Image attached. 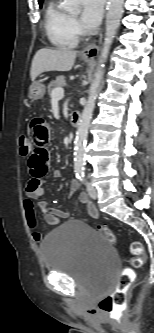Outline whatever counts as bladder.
Returning <instances> with one entry per match:
<instances>
[{
  "instance_id": "bladder-1",
  "label": "bladder",
  "mask_w": 154,
  "mask_h": 333,
  "mask_svg": "<svg viewBox=\"0 0 154 333\" xmlns=\"http://www.w3.org/2000/svg\"><path fill=\"white\" fill-rule=\"evenodd\" d=\"M40 252L47 271L65 274L84 288L106 292L115 280V249L82 221L71 220L51 230Z\"/></svg>"
}]
</instances>
